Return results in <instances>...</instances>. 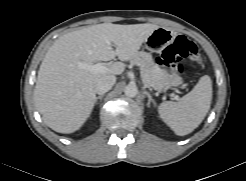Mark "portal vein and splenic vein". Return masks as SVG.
Listing matches in <instances>:
<instances>
[{"instance_id":"1","label":"portal vein and splenic vein","mask_w":246,"mask_h":181,"mask_svg":"<svg viewBox=\"0 0 246 181\" xmlns=\"http://www.w3.org/2000/svg\"><path fill=\"white\" fill-rule=\"evenodd\" d=\"M78 66L82 69H86L94 73H104L107 70V67L105 66V64L101 62L94 64V65L88 64L86 62H78ZM176 100H179L178 96H176Z\"/></svg>"}]
</instances>
